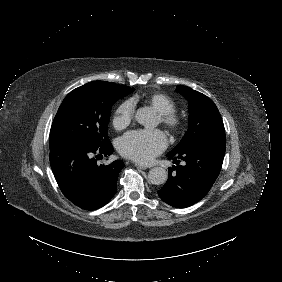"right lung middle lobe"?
Returning <instances> with one entry per match:
<instances>
[{
  "label": "right lung middle lobe",
  "mask_w": 282,
  "mask_h": 282,
  "mask_svg": "<svg viewBox=\"0 0 282 282\" xmlns=\"http://www.w3.org/2000/svg\"><path fill=\"white\" fill-rule=\"evenodd\" d=\"M133 91L134 88L106 81L89 82L71 91L54 118L50 149L73 141L109 143L107 126L111 107Z\"/></svg>",
  "instance_id": "right-lung-middle-lobe-1"
}]
</instances>
